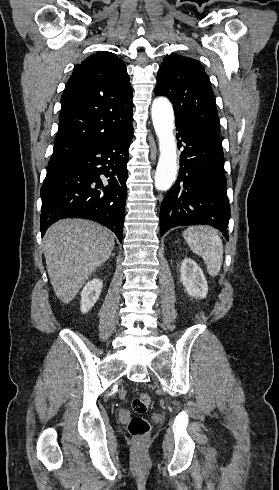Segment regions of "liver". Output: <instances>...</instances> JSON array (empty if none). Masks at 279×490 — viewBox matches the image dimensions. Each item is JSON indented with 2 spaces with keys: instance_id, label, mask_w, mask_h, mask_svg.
<instances>
[{
  "instance_id": "6515ba94",
  "label": "liver",
  "mask_w": 279,
  "mask_h": 490,
  "mask_svg": "<svg viewBox=\"0 0 279 490\" xmlns=\"http://www.w3.org/2000/svg\"><path fill=\"white\" fill-rule=\"evenodd\" d=\"M114 234L91 220H59L47 230L44 256L49 280L62 304H69L96 268L107 262Z\"/></svg>"
}]
</instances>
